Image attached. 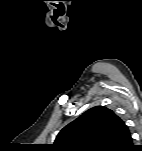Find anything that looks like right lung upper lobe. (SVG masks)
I'll use <instances>...</instances> for the list:
<instances>
[{
  "label": "right lung upper lobe",
  "mask_w": 142,
  "mask_h": 151,
  "mask_svg": "<svg viewBox=\"0 0 142 151\" xmlns=\"http://www.w3.org/2000/svg\"><path fill=\"white\" fill-rule=\"evenodd\" d=\"M56 151H130V131L123 120L104 106L93 107L64 127L56 137Z\"/></svg>",
  "instance_id": "1"
}]
</instances>
